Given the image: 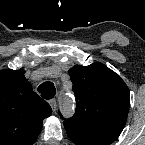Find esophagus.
Listing matches in <instances>:
<instances>
[{
	"mask_svg": "<svg viewBox=\"0 0 145 145\" xmlns=\"http://www.w3.org/2000/svg\"><path fill=\"white\" fill-rule=\"evenodd\" d=\"M49 104H50V106H51L53 112H55L56 109H57L56 99H54V98H53V99H50V100H49Z\"/></svg>",
	"mask_w": 145,
	"mask_h": 145,
	"instance_id": "esophagus-1",
	"label": "esophagus"
}]
</instances>
